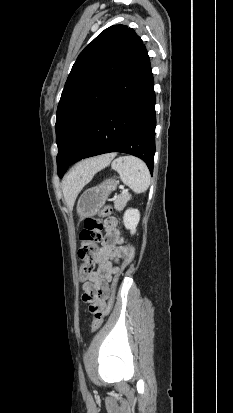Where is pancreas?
Returning a JSON list of instances; mask_svg holds the SVG:
<instances>
[{"label": "pancreas", "instance_id": "1", "mask_svg": "<svg viewBox=\"0 0 233 413\" xmlns=\"http://www.w3.org/2000/svg\"><path fill=\"white\" fill-rule=\"evenodd\" d=\"M128 200H129V196H128V195L118 196V197L115 199V202H114V207H115V209H116L117 211H121V210L125 207V205H126V203H127Z\"/></svg>", "mask_w": 233, "mask_h": 413}]
</instances>
